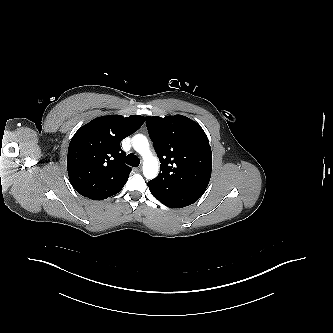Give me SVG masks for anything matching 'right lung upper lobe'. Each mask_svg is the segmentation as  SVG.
<instances>
[{
	"label": "right lung upper lobe",
	"mask_w": 333,
	"mask_h": 333,
	"mask_svg": "<svg viewBox=\"0 0 333 333\" xmlns=\"http://www.w3.org/2000/svg\"><path fill=\"white\" fill-rule=\"evenodd\" d=\"M144 121L140 115L101 116L74 134L68 147L67 170L79 194L103 200L122 190L131 169L124 163L120 142L137 131Z\"/></svg>",
	"instance_id": "obj_1"
}]
</instances>
